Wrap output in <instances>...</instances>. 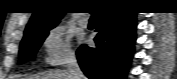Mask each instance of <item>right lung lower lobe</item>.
Masks as SVG:
<instances>
[{
	"instance_id": "1",
	"label": "right lung lower lobe",
	"mask_w": 177,
	"mask_h": 79,
	"mask_svg": "<svg viewBox=\"0 0 177 79\" xmlns=\"http://www.w3.org/2000/svg\"><path fill=\"white\" fill-rule=\"evenodd\" d=\"M98 17L96 47L80 46L79 65L89 79H125L136 39V13L107 9Z\"/></svg>"
}]
</instances>
